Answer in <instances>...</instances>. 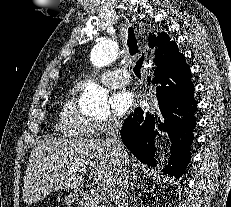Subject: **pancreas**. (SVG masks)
Listing matches in <instances>:
<instances>
[{
	"mask_svg": "<svg viewBox=\"0 0 231 207\" xmlns=\"http://www.w3.org/2000/svg\"><path fill=\"white\" fill-rule=\"evenodd\" d=\"M94 207H104L100 202L96 201Z\"/></svg>",
	"mask_w": 231,
	"mask_h": 207,
	"instance_id": "cf45deb5",
	"label": "pancreas"
}]
</instances>
